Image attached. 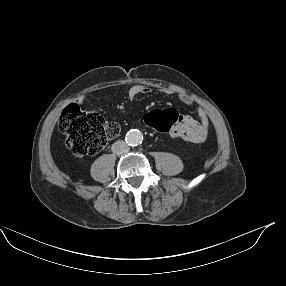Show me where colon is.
Listing matches in <instances>:
<instances>
[{
    "label": "colon",
    "mask_w": 286,
    "mask_h": 286,
    "mask_svg": "<svg viewBox=\"0 0 286 286\" xmlns=\"http://www.w3.org/2000/svg\"><path fill=\"white\" fill-rule=\"evenodd\" d=\"M145 126L152 131H168L181 120L172 109L146 110L142 114ZM59 129L66 136L67 148L77 156H91L102 150L121 131L118 123L107 122L96 111L83 110L71 104L61 113Z\"/></svg>",
    "instance_id": "5ec220e1"
}]
</instances>
